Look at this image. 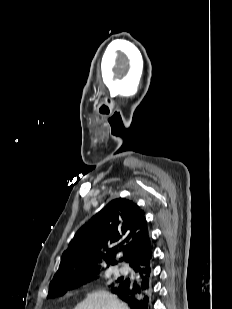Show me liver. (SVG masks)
I'll list each match as a JSON object with an SVG mask.
<instances>
[{
    "label": "liver",
    "mask_w": 232,
    "mask_h": 309,
    "mask_svg": "<svg viewBox=\"0 0 232 309\" xmlns=\"http://www.w3.org/2000/svg\"><path fill=\"white\" fill-rule=\"evenodd\" d=\"M74 309H129L115 295L104 290L90 293Z\"/></svg>",
    "instance_id": "liver-1"
}]
</instances>
